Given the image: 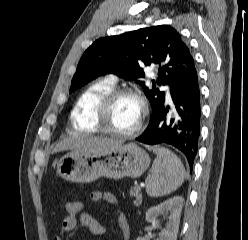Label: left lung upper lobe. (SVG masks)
I'll list each match as a JSON object with an SVG mask.
<instances>
[{
  "label": "left lung upper lobe",
  "instance_id": "1",
  "mask_svg": "<svg viewBox=\"0 0 248 240\" xmlns=\"http://www.w3.org/2000/svg\"><path fill=\"white\" fill-rule=\"evenodd\" d=\"M140 64L160 66L157 85L182 83L195 68L194 59L181 35L170 25H157L96 40L82 55L73 76L70 92L98 76L115 74L136 81L143 88L153 113L165 102V92L156 86L148 88Z\"/></svg>",
  "mask_w": 248,
  "mask_h": 240
}]
</instances>
